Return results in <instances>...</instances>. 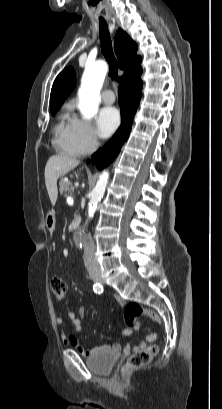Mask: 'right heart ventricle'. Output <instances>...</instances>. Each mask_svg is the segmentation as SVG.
<instances>
[{
    "instance_id": "e07e8e85",
    "label": "right heart ventricle",
    "mask_w": 222,
    "mask_h": 409,
    "mask_svg": "<svg viewBox=\"0 0 222 409\" xmlns=\"http://www.w3.org/2000/svg\"><path fill=\"white\" fill-rule=\"evenodd\" d=\"M73 122L74 118L70 110L65 109L55 127L54 143L63 154L78 157L83 152L76 141Z\"/></svg>"
}]
</instances>
